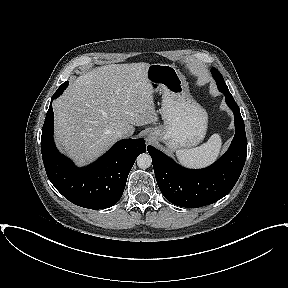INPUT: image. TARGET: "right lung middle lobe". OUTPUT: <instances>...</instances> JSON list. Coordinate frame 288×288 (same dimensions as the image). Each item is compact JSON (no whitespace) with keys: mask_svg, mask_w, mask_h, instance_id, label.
Listing matches in <instances>:
<instances>
[{"mask_svg":"<svg viewBox=\"0 0 288 288\" xmlns=\"http://www.w3.org/2000/svg\"><path fill=\"white\" fill-rule=\"evenodd\" d=\"M67 86H68V82L66 81L65 83H63V84L58 88V90L56 91V93H62Z\"/></svg>","mask_w":288,"mask_h":288,"instance_id":"obj_1","label":"right lung middle lobe"}]
</instances>
